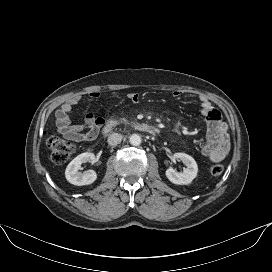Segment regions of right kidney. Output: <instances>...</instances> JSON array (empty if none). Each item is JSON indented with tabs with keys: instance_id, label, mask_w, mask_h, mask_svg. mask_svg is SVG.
<instances>
[{
	"instance_id": "obj_1",
	"label": "right kidney",
	"mask_w": 272,
	"mask_h": 272,
	"mask_svg": "<svg viewBox=\"0 0 272 272\" xmlns=\"http://www.w3.org/2000/svg\"><path fill=\"white\" fill-rule=\"evenodd\" d=\"M94 163L95 155L90 152H85L75 157L65 170L67 181L73 185L83 186L92 184L97 179V174L94 170H87L83 173L78 172L82 163Z\"/></svg>"
}]
</instances>
